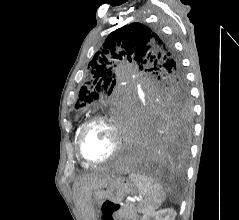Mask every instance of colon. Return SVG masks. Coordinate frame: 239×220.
I'll list each match as a JSON object with an SVG mask.
<instances>
[{"mask_svg": "<svg viewBox=\"0 0 239 220\" xmlns=\"http://www.w3.org/2000/svg\"><path fill=\"white\" fill-rule=\"evenodd\" d=\"M119 209V204L113 201H105L102 204V218L103 220H117L116 212Z\"/></svg>", "mask_w": 239, "mask_h": 220, "instance_id": "obj_1", "label": "colon"}]
</instances>
